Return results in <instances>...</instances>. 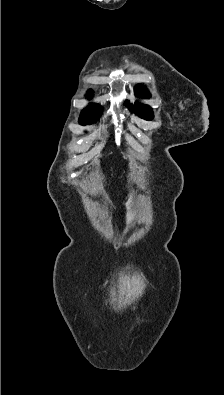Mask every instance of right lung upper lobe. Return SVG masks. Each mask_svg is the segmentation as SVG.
Here are the masks:
<instances>
[{"mask_svg": "<svg viewBox=\"0 0 224 395\" xmlns=\"http://www.w3.org/2000/svg\"><path fill=\"white\" fill-rule=\"evenodd\" d=\"M88 96H90V94H88ZM91 108L102 109L99 105H92Z\"/></svg>", "mask_w": 224, "mask_h": 395, "instance_id": "obj_1", "label": "right lung upper lobe"}]
</instances>
